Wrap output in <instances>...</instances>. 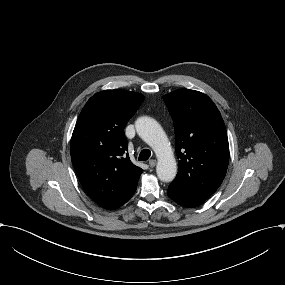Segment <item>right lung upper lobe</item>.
Here are the masks:
<instances>
[{
  "mask_svg": "<svg viewBox=\"0 0 285 285\" xmlns=\"http://www.w3.org/2000/svg\"><path fill=\"white\" fill-rule=\"evenodd\" d=\"M144 100L137 92L104 90L82 109L71 139V159L87 194L113 210L134 194L143 170L129 159L124 128Z\"/></svg>",
  "mask_w": 285,
  "mask_h": 285,
  "instance_id": "1",
  "label": "right lung upper lobe"
}]
</instances>
